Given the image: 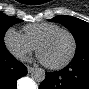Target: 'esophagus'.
<instances>
[{"label":"esophagus","instance_id":"34e87169","mask_svg":"<svg viewBox=\"0 0 89 89\" xmlns=\"http://www.w3.org/2000/svg\"><path fill=\"white\" fill-rule=\"evenodd\" d=\"M34 69H35L34 67L27 66V70H28L29 73H31L32 71H34Z\"/></svg>","mask_w":89,"mask_h":89}]
</instances>
